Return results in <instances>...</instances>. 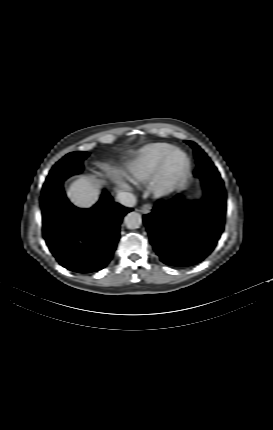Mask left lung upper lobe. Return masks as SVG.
Listing matches in <instances>:
<instances>
[{"label": "left lung upper lobe", "mask_w": 273, "mask_h": 430, "mask_svg": "<svg viewBox=\"0 0 273 430\" xmlns=\"http://www.w3.org/2000/svg\"><path fill=\"white\" fill-rule=\"evenodd\" d=\"M187 144H189L194 149V154L196 157L197 165L207 164L210 163L211 160L206 155V153L194 142L192 141H185Z\"/></svg>", "instance_id": "left-lung-upper-lobe-1"}]
</instances>
